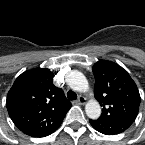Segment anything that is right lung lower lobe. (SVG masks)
I'll return each mask as SVG.
<instances>
[{
    "instance_id": "obj_1",
    "label": "right lung lower lobe",
    "mask_w": 145,
    "mask_h": 145,
    "mask_svg": "<svg viewBox=\"0 0 145 145\" xmlns=\"http://www.w3.org/2000/svg\"><path fill=\"white\" fill-rule=\"evenodd\" d=\"M54 132V131H53ZM53 132H51V133H53ZM51 133H49V134H47V135H45V136H48V135H50ZM44 137V136H43Z\"/></svg>"
}]
</instances>
